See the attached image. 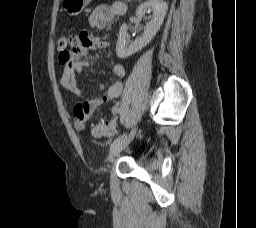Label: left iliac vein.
I'll return each mask as SVG.
<instances>
[{
    "label": "left iliac vein",
    "mask_w": 256,
    "mask_h": 228,
    "mask_svg": "<svg viewBox=\"0 0 256 228\" xmlns=\"http://www.w3.org/2000/svg\"><path fill=\"white\" fill-rule=\"evenodd\" d=\"M136 134V129H133L129 134L124 135L119 141L113 143L110 147L108 159H113L119 152L126 148Z\"/></svg>",
    "instance_id": "1"
}]
</instances>
